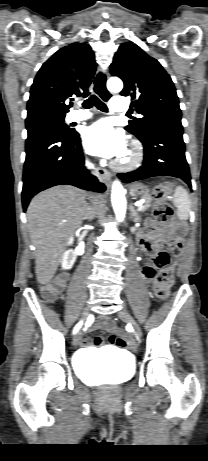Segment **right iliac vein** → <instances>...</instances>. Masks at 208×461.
<instances>
[{
	"instance_id": "1",
	"label": "right iliac vein",
	"mask_w": 208,
	"mask_h": 461,
	"mask_svg": "<svg viewBox=\"0 0 208 461\" xmlns=\"http://www.w3.org/2000/svg\"><path fill=\"white\" fill-rule=\"evenodd\" d=\"M89 313H90L89 308H85L83 310L82 315H81V323L85 322L88 319ZM80 339H81V333L77 332L73 338L74 347H77L79 345Z\"/></svg>"
}]
</instances>
